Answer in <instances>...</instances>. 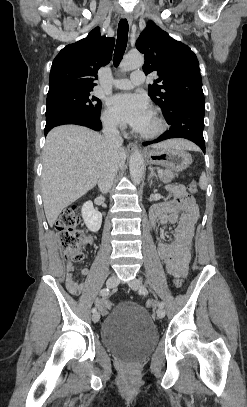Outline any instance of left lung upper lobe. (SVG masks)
Returning <instances> with one entry per match:
<instances>
[{
  "label": "left lung upper lobe",
  "instance_id": "left-lung-upper-lobe-1",
  "mask_svg": "<svg viewBox=\"0 0 247 407\" xmlns=\"http://www.w3.org/2000/svg\"><path fill=\"white\" fill-rule=\"evenodd\" d=\"M136 47L144 54L145 74L156 71L159 76L149 86L148 95L161 107L165 119L182 107L205 108L199 63L189 47L174 40L153 21L140 34Z\"/></svg>",
  "mask_w": 247,
  "mask_h": 407
}]
</instances>
